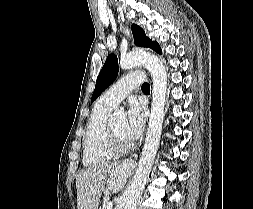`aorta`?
Wrapping results in <instances>:
<instances>
[{
  "mask_svg": "<svg viewBox=\"0 0 253 209\" xmlns=\"http://www.w3.org/2000/svg\"><path fill=\"white\" fill-rule=\"evenodd\" d=\"M140 65L151 73L153 79L151 114L145 145L138 168L129 187L127 198L124 201V209H137L159 147L164 119L167 90L166 69L158 57L146 52H132L121 57L119 61V67L123 70L132 69ZM123 113V110L120 109L116 115H122Z\"/></svg>",
  "mask_w": 253,
  "mask_h": 209,
  "instance_id": "obj_1",
  "label": "aorta"
}]
</instances>
